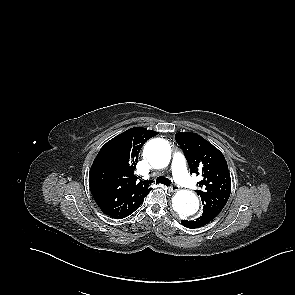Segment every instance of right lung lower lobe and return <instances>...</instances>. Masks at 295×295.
Returning <instances> with one entry per match:
<instances>
[{"label": "right lung lower lobe", "instance_id": "1", "mask_svg": "<svg viewBox=\"0 0 295 295\" xmlns=\"http://www.w3.org/2000/svg\"><path fill=\"white\" fill-rule=\"evenodd\" d=\"M126 217V216H125ZM125 217H121V218H125ZM121 218H117V219H121Z\"/></svg>", "mask_w": 295, "mask_h": 295}]
</instances>
